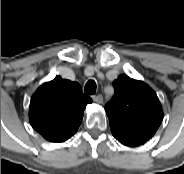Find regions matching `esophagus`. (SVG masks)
<instances>
[{
  "label": "esophagus",
  "mask_w": 184,
  "mask_h": 174,
  "mask_svg": "<svg viewBox=\"0 0 184 174\" xmlns=\"http://www.w3.org/2000/svg\"><path fill=\"white\" fill-rule=\"evenodd\" d=\"M93 101L98 103V104H102L103 103V96L102 95H96L92 97Z\"/></svg>",
  "instance_id": "esophagus-1"
}]
</instances>
